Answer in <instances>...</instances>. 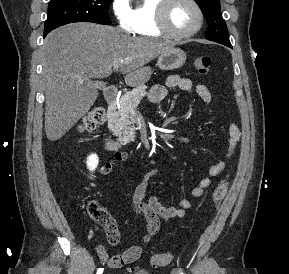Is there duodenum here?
I'll return each mask as SVG.
<instances>
[{
    "label": "duodenum",
    "instance_id": "obj_1",
    "mask_svg": "<svg viewBox=\"0 0 289 274\" xmlns=\"http://www.w3.org/2000/svg\"><path fill=\"white\" fill-rule=\"evenodd\" d=\"M104 95H105V100L109 106V111L113 112L116 107L118 98H119L118 87L115 85L108 86L105 90ZM103 144L108 150H111V151L117 150L120 146V143L117 140L112 139L107 135L103 136Z\"/></svg>",
    "mask_w": 289,
    "mask_h": 274
}]
</instances>
